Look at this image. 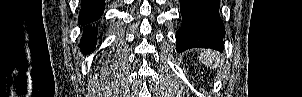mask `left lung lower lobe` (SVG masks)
<instances>
[{
    "mask_svg": "<svg viewBox=\"0 0 302 97\" xmlns=\"http://www.w3.org/2000/svg\"><path fill=\"white\" fill-rule=\"evenodd\" d=\"M219 7L220 0H180L183 22L176 34L178 52L195 47L223 50L225 29Z\"/></svg>",
    "mask_w": 302,
    "mask_h": 97,
    "instance_id": "0a47b994",
    "label": "left lung lower lobe"
}]
</instances>
